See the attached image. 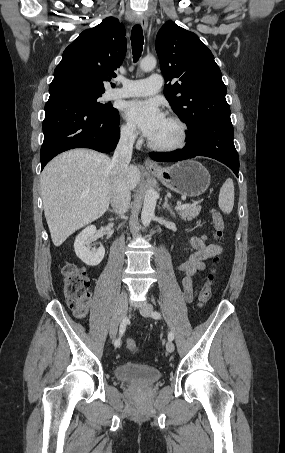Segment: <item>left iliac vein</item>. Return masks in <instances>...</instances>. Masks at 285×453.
<instances>
[{"label": "left iliac vein", "instance_id": "1", "mask_svg": "<svg viewBox=\"0 0 285 453\" xmlns=\"http://www.w3.org/2000/svg\"><path fill=\"white\" fill-rule=\"evenodd\" d=\"M140 313L142 316L144 317H149L152 310H153V306L150 304V303H147V302H144L141 304L140 306ZM175 347H174V344L172 341H168L167 344H166V350L169 352V353H172L174 351Z\"/></svg>", "mask_w": 285, "mask_h": 453}]
</instances>
